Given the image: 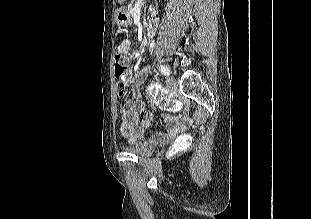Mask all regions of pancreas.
Masks as SVG:
<instances>
[{
    "label": "pancreas",
    "mask_w": 311,
    "mask_h": 219,
    "mask_svg": "<svg viewBox=\"0 0 311 219\" xmlns=\"http://www.w3.org/2000/svg\"><path fill=\"white\" fill-rule=\"evenodd\" d=\"M138 1H140L141 4H142V1H143V0H131V3L129 4V9H128V11H129V13H130L131 15L134 13L135 5H136V3H137Z\"/></svg>",
    "instance_id": "cf45deb5"
}]
</instances>
